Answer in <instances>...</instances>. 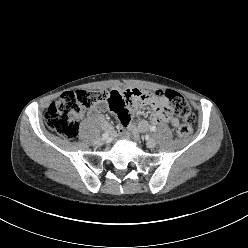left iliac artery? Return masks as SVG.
I'll return each mask as SVG.
<instances>
[{
  "mask_svg": "<svg viewBox=\"0 0 248 248\" xmlns=\"http://www.w3.org/2000/svg\"><path fill=\"white\" fill-rule=\"evenodd\" d=\"M151 131H152V132L156 131V127H155V126H152V127H151Z\"/></svg>",
  "mask_w": 248,
  "mask_h": 248,
  "instance_id": "left-iliac-artery-1",
  "label": "left iliac artery"
}]
</instances>
